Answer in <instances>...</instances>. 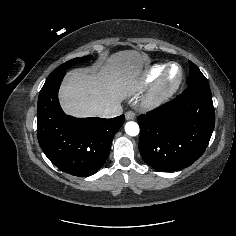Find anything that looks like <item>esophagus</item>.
<instances>
[{
    "instance_id": "esophagus-1",
    "label": "esophagus",
    "mask_w": 236,
    "mask_h": 236,
    "mask_svg": "<svg viewBox=\"0 0 236 236\" xmlns=\"http://www.w3.org/2000/svg\"><path fill=\"white\" fill-rule=\"evenodd\" d=\"M126 120H133L135 118V113L132 111H127L125 113Z\"/></svg>"
}]
</instances>
